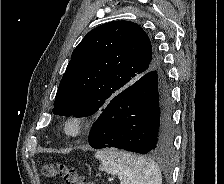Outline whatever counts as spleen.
<instances>
[{
	"label": "spleen",
	"instance_id": "1",
	"mask_svg": "<svg viewBox=\"0 0 224 184\" xmlns=\"http://www.w3.org/2000/svg\"><path fill=\"white\" fill-rule=\"evenodd\" d=\"M95 157L101 171L122 177L121 184H162L159 167L145 157L116 149L97 151Z\"/></svg>",
	"mask_w": 224,
	"mask_h": 184
}]
</instances>
